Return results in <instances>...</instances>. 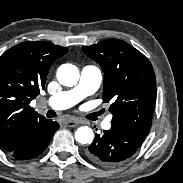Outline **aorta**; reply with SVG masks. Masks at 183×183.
Instances as JSON below:
<instances>
[{
    "mask_svg": "<svg viewBox=\"0 0 183 183\" xmlns=\"http://www.w3.org/2000/svg\"><path fill=\"white\" fill-rule=\"evenodd\" d=\"M57 80L61 85L73 86L79 80V70L75 65L63 64L57 70ZM75 139L81 144H90L94 139V133L88 126H82L75 132Z\"/></svg>",
    "mask_w": 183,
    "mask_h": 183,
    "instance_id": "1",
    "label": "aorta"
}]
</instances>
